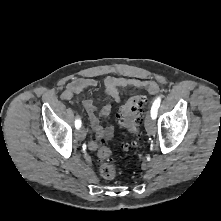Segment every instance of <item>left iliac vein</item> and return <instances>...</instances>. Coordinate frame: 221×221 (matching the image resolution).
<instances>
[{
	"label": "left iliac vein",
	"instance_id": "4c4485c4",
	"mask_svg": "<svg viewBox=\"0 0 221 221\" xmlns=\"http://www.w3.org/2000/svg\"><path fill=\"white\" fill-rule=\"evenodd\" d=\"M145 128L148 134L153 135L156 132V125L153 119L147 115L145 118Z\"/></svg>",
	"mask_w": 221,
	"mask_h": 221
}]
</instances>
